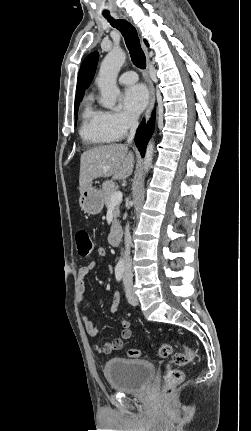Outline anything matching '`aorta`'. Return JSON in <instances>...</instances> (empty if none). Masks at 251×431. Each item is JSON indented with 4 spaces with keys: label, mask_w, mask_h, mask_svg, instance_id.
I'll list each match as a JSON object with an SVG mask.
<instances>
[{
    "label": "aorta",
    "mask_w": 251,
    "mask_h": 431,
    "mask_svg": "<svg viewBox=\"0 0 251 431\" xmlns=\"http://www.w3.org/2000/svg\"><path fill=\"white\" fill-rule=\"evenodd\" d=\"M125 59V52L120 48H114L105 56L101 63L97 84L102 95L101 104L105 108L114 109L115 107L116 99L120 93L116 85V79ZM153 155L154 143L151 140L147 145L144 157V170L146 172H148L152 166ZM124 263L125 259L120 258L118 266L124 265Z\"/></svg>",
    "instance_id": "obj_1"
}]
</instances>
